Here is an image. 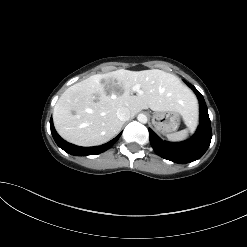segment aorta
Masks as SVG:
<instances>
[{
    "label": "aorta",
    "instance_id": "aorta-1",
    "mask_svg": "<svg viewBox=\"0 0 247 247\" xmlns=\"http://www.w3.org/2000/svg\"><path fill=\"white\" fill-rule=\"evenodd\" d=\"M137 120L140 122V123H147V121H148V118H147V116L145 115V114H139L138 116H137Z\"/></svg>",
    "mask_w": 247,
    "mask_h": 247
}]
</instances>
